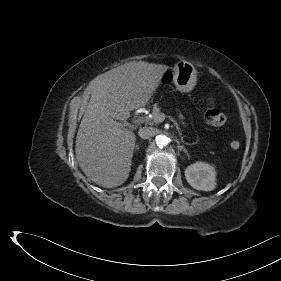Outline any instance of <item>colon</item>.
Returning <instances> with one entry per match:
<instances>
[{
    "instance_id": "colon-1",
    "label": "colon",
    "mask_w": 281,
    "mask_h": 281,
    "mask_svg": "<svg viewBox=\"0 0 281 281\" xmlns=\"http://www.w3.org/2000/svg\"><path fill=\"white\" fill-rule=\"evenodd\" d=\"M205 120L209 125L220 126L226 122L227 117L223 111L218 109H210L205 114ZM229 146L232 149H238L240 147V142L236 139H233L229 142Z\"/></svg>"
}]
</instances>
